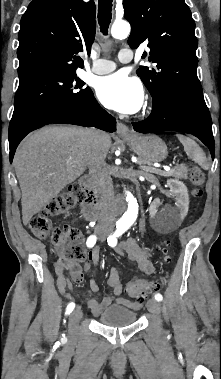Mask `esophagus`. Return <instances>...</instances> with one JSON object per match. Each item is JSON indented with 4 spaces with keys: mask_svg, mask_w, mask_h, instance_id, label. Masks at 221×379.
Instances as JSON below:
<instances>
[{
    "mask_svg": "<svg viewBox=\"0 0 221 379\" xmlns=\"http://www.w3.org/2000/svg\"><path fill=\"white\" fill-rule=\"evenodd\" d=\"M117 134L121 137H125V136H130L131 133H130L128 126H126L122 122H118L117 123Z\"/></svg>",
    "mask_w": 221,
    "mask_h": 379,
    "instance_id": "esophagus-1",
    "label": "esophagus"
}]
</instances>
